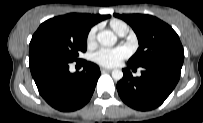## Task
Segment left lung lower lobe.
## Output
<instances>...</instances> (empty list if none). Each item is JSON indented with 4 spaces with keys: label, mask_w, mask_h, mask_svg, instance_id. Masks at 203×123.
Masks as SVG:
<instances>
[{
    "label": "left lung lower lobe",
    "mask_w": 203,
    "mask_h": 123,
    "mask_svg": "<svg viewBox=\"0 0 203 123\" xmlns=\"http://www.w3.org/2000/svg\"><path fill=\"white\" fill-rule=\"evenodd\" d=\"M129 68L137 67L127 63ZM140 77L134 78L129 69H123V78L117 83L118 93L128 106L140 111L160 106L179 81L182 64L151 63L142 66Z\"/></svg>",
    "instance_id": "1"
}]
</instances>
